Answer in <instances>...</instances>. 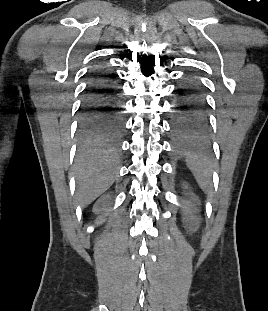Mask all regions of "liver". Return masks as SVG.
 <instances>
[{
	"label": "liver",
	"mask_w": 268,
	"mask_h": 311,
	"mask_svg": "<svg viewBox=\"0 0 268 311\" xmlns=\"http://www.w3.org/2000/svg\"><path fill=\"white\" fill-rule=\"evenodd\" d=\"M75 165L78 195L86 207L112 185L117 158L110 150H86L78 155Z\"/></svg>",
	"instance_id": "liver-1"
}]
</instances>
